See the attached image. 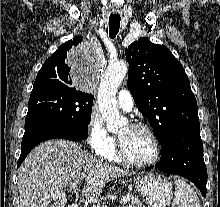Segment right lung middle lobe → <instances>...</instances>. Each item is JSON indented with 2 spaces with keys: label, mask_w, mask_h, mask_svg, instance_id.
I'll return each instance as SVG.
<instances>
[{
  "label": "right lung middle lobe",
  "mask_w": 220,
  "mask_h": 207,
  "mask_svg": "<svg viewBox=\"0 0 220 207\" xmlns=\"http://www.w3.org/2000/svg\"><path fill=\"white\" fill-rule=\"evenodd\" d=\"M94 96L77 89L59 87L33 88L25 128L51 124L88 128Z\"/></svg>",
  "instance_id": "dd1d6c3e"
}]
</instances>
